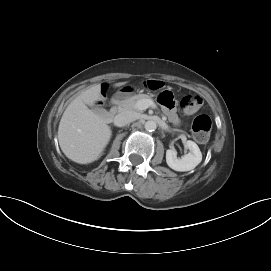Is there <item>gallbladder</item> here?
<instances>
[{
  "instance_id": "bac80fb5",
  "label": "gallbladder",
  "mask_w": 271,
  "mask_h": 271,
  "mask_svg": "<svg viewBox=\"0 0 271 271\" xmlns=\"http://www.w3.org/2000/svg\"><path fill=\"white\" fill-rule=\"evenodd\" d=\"M92 110L101 117L106 114V111L102 108H99V107H94Z\"/></svg>"
}]
</instances>
